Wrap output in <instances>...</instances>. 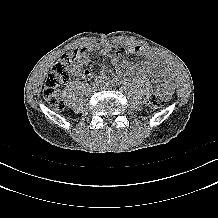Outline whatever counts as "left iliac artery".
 <instances>
[{"label":"left iliac artery","instance_id":"left-iliac-artery-1","mask_svg":"<svg viewBox=\"0 0 218 218\" xmlns=\"http://www.w3.org/2000/svg\"><path fill=\"white\" fill-rule=\"evenodd\" d=\"M106 83H107V84H112L113 82H112L110 79H107V80H106Z\"/></svg>","mask_w":218,"mask_h":218}]
</instances>
